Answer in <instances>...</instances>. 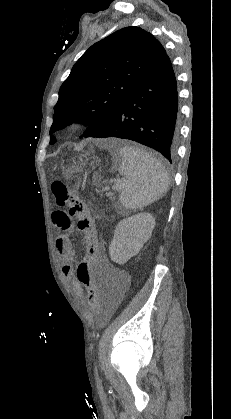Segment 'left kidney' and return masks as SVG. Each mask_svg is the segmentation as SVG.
Here are the masks:
<instances>
[{
  "mask_svg": "<svg viewBox=\"0 0 231 419\" xmlns=\"http://www.w3.org/2000/svg\"><path fill=\"white\" fill-rule=\"evenodd\" d=\"M154 226L155 218L149 213H139L120 221L109 246L111 260L122 265L137 255L150 238Z\"/></svg>",
  "mask_w": 231,
  "mask_h": 419,
  "instance_id": "left-kidney-1",
  "label": "left kidney"
}]
</instances>
